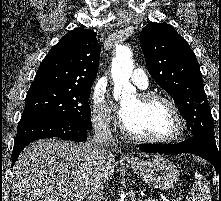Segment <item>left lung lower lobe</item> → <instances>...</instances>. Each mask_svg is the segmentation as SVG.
Wrapping results in <instances>:
<instances>
[{"label":"left lung lower lobe","instance_id":"1","mask_svg":"<svg viewBox=\"0 0 221 201\" xmlns=\"http://www.w3.org/2000/svg\"><path fill=\"white\" fill-rule=\"evenodd\" d=\"M139 149L150 153L181 154L192 153L206 158L221 175V146L207 141L200 135L191 136L189 139L177 144H141Z\"/></svg>","mask_w":221,"mask_h":201}]
</instances>
